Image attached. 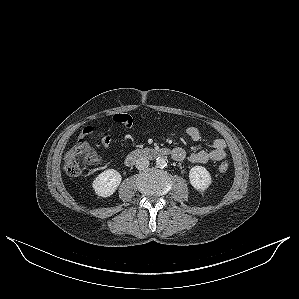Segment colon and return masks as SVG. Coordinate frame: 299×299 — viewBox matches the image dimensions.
Segmentation results:
<instances>
[{
	"label": "colon",
	"instance_id": "1",
	"mask_svg": "<svg viewBox=\"0 0 299 299\" xmlns=\"http://www.w3.org/2000/svg\"><path fill=\"white\" fill-rule=\"evenodd\" d=\"M98 159L95 149L85 140H79L64 158V167L68 175L77 177L82 175ZM229 165L222 162L219 171L224 173Z\"/></svg>",
	"mask_w": 299,
	"mask_h": 299
}]
</instances>
